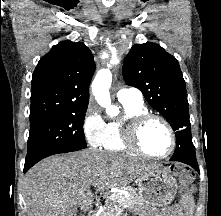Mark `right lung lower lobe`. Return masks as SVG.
<instances>
[{"label":"right lung lower lobe","mask_w":221,"mask_h":216,"mask_svg":"<svg viewBox=\"0 0 221 216\" xmlns=\"http://www.w3.org/2000/svg\"><path fill=\"white\" fill-rule=\"evenodd\" d=\"M33 165H34V164L25 165V166H24V173H25L28 169H30Z\"/></svg>","instance_id":"right-lung-lower-lobe-1"}]
</instances>
